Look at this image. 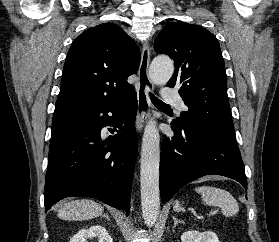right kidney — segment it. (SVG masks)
I'll list each match as a JSON object with an SVG mask.
<instances>
[{
    "label": "right kidney",
    "mask_w": 279,
    "mask_h": 242,
    "mask_svg": "<svg viewBox=\"0 0 279 242\" xmlns=\"http://www.w3.org/2000/svg\"><path fill=\"white\" fill-rule=\"evenodd\" d=\"M98 237L99 242H113L111 236L102 225H93L89 228H83L74 235L69 242H88V239Z\"/></svg>",
    "instance_id": "obj_1"
}]
</instances>
